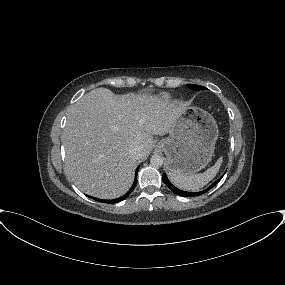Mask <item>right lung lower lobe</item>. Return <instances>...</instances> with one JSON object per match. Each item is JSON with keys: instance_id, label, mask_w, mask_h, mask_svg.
Segmentation results:
<instances>
[{"instance_id": "1", "label": "right lung lower lobe", "mask_w": 285, "mask_h": 285, "mask_svg": "<svg viewBox=\"0 0 285 285\" xmlns=\"http://www.w3.org/2000/svg\"><path fill=\"white\" fill-rule=\"evenodd\" d=\"M137 173H138V168H137V170L135 172V179H134V183H133L132 187L130 188V190L124 196H122L120 198H117V199H114V200H102V199L94 198V197H91V196H88V197H90V198H92V199H94L96 201L103 202V203H118V202L124 200L133 191V189H134V187L136 186V183H137Z\"/></svg>"}]
</instances>
